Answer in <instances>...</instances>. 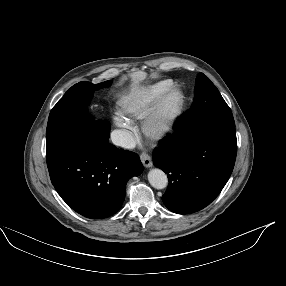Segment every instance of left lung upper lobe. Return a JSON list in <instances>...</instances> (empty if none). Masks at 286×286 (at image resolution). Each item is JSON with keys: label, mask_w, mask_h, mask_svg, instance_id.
Masks as SVG:
<instances>
[{"label": "left lung upper lobe", "mask_w": 286, "mask_h": 286, "mask_svg": "<svg viewBox=\"0 0 286 286\" xmlns=\"http://www.w3.org/2000/svg\"><path fill=\"white\" fill-rule=\"evenodd\" d=\"M208 127L235 128V123L231 109L216 86L207 76L199 73L195 82L193 104L177 129L184 134Z\"/></svg>", "instance_id": "1"}]
</instances>
